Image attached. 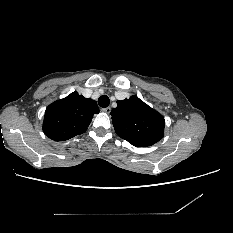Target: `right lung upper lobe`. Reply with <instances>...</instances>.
Wrapping results in <instances>:
<instances>
[{
    "instance_id": "1",
    "label": "right lung upper lobe",
    "mask_w": 233,
    "mask_h": 233,
    "mask_svg": "<svg viewBox=\"0 0 233 233\" xmlns=\"http://www.w3.org/2000/svg\"><path fill=\"white\" fill-rule=\"evenodd\" d=\"M97 113L99 108L96 101L75 91L47 107L43 131L54 141H65L84 133Z\"/></svg>"
}]
</instances>
